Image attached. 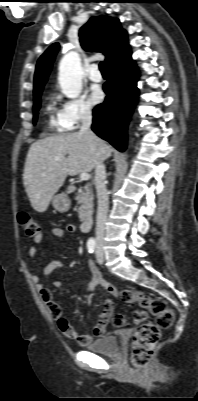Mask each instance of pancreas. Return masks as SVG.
I'll return each mask as SVG.
<instances>
[{"mask_svg":"<svg viewBox=\"0 0 198 401\" xmlns=\"http://www.w3.org/2000/svg\"><path fill=\"white\" fill-rule=\"evenodd\" d=\"M75 200L79 204L78 214L80 221H83L87 216L92 215L94 195L92 188L89 185L78 190Z\"/></svg>","mask_w":198,"mask_h":401,"instance_id":"1","label":"pancreas"}]
</instances>
